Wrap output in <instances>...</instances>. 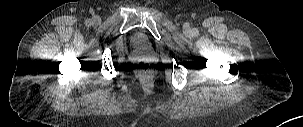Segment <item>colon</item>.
I'll return each instance as SVG.
<instances>
[{"instance_id": "1", "label": "colon", "mask_w": 303, "mask_h": 127, "mask_svg": "<svg viewBox=\"0 0 303 127\" xmlns=\"http://www.w3.org/2000/svg\"><path fill=\"white\" fill-rule=\"evenodd\" d=\"M142 67L145 71L147 70V65L143 64Z\"/></svg>"}]
</instances>
